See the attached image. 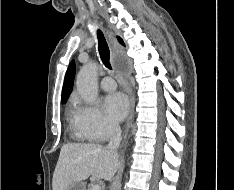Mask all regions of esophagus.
<instances>
[{
    "label": "esophagus",
    "mask_w": 234,
    "mask_h": 190,
    "mask_svg": "<svg viewBox=\"0 0 234 190\" xmlns=\"http://www.w3.org/2000/svg\"><path fill=\"white\" fill-rule=\"evenodd\" d=\"M107 34H108L109 39H111V37H112L111 33L107 32ZM134 106H135V101H134V98L131 97L130 114H129V119L127 122V127L125 130V136L127 135L128 131L132 125V121H133V117H134Z\"/></svg>",
    "instance_id": "obj_1"
}]
</instances>
